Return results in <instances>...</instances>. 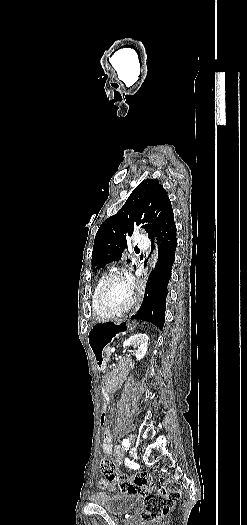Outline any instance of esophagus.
<instances>
[{
  "label": "esophagus",
  "instance_id": "1",
  "mask_svg": "<svg viewBox=\"0 0 247 525\" xmlns=\"http://www.w3.org/2000/svg\"><path fill=\"white\" fill-rule=\"evenodd\" d=\"M144 276H145V273H142V276H141V279H140V283L141 284L138 287L137 303H136V306H135L134 310L132 311V315L137 313V311L139 310V308H140V306L142 304L143 298H144V293H145Z\"/></svg>",
  "mask_w": 247,
  "mask_h": 525
}]
</instances>
